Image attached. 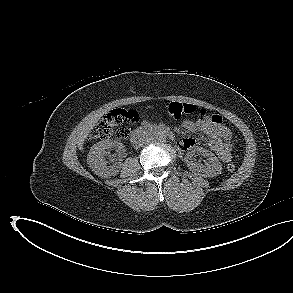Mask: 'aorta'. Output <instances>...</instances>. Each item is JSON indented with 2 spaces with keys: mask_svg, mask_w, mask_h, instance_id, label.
I'll use <instances>...</instances> for the list:
<instances>
[{
  "mask_svg": "<svg viewBox=\"0 0 293 293\" xmlns=\"http://www.w3.org/2000/svg\"><path fill=\"white\" fill-rule=\"evenodd\" d=\"M156 139L158 140V142H165L166 141V135L161 134V135L157 136Z\"/></svg>",
  "mask_w": 293,
  "mask_h": 293,
  "instance_id": "obj_1",
  "label": "aorta"
}]
</instances>
